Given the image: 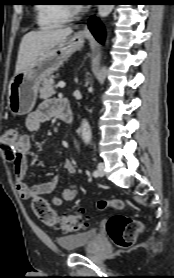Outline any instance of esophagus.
Here are the masks:
<instances>
[{"label": "esophagus", "mask_w": 174, "mask_h": 278, "mask_svg": "<svg viewBox=\"0 0 174 278\" xmlns=\"http://www.w3.org/2000/svg\"><path fill=\"white\" fill-rule=\"evenodd\" d=\"M86 34H87V27L86 26L77 33L78 36H84Z\"/></svg>", "instance_id": "34e87169"}]
</instances>
